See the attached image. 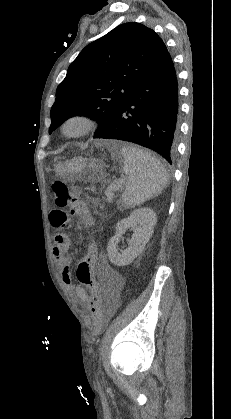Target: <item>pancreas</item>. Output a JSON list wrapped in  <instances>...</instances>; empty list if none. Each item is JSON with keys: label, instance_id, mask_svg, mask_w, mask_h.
<instances>
[{"label": "pancreas", "instance_id": "1", "mask_svg": "<svg viewBox=\"0 0 231 419\" xmlns=\"http://www.w3.org/2000/svg\"><path fill=\"white\" fill-rule=\"evenodd\" d=\"M105 195H106V198H105V200H106V202H112V200H113V198H114V190L113 189H110V188H108L106 191H105Z\"/></svg>", "mask_w": 231, "mask_h": 419}]
</instances>
